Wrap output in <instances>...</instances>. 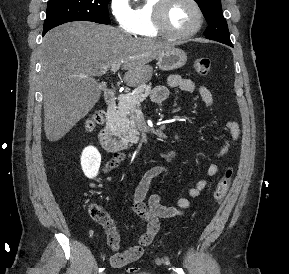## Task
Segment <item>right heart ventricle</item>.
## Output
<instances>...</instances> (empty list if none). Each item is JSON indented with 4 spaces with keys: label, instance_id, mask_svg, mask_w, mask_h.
<instances>
[{
    "label": "right heart ventricle",
    "instance_id": "obj_1",
    "mask_svg": "<svg viewBox=\"0 0 289 274\" xmlns=\"http://www.w3.org/2000/svg\"><path fill=\"white\" fill-rule=\"evenodd\" d=\"M158 0H145L133 9V31L140 37H157L161 35L154 26L153 12Z\"/></svg>",
    "mask_w": 289,
    "mask_h": 274
}]
</instances>
